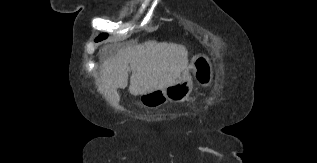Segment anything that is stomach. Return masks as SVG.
I'll return each mask as SVG.
<instances>
[{
    "mask_svg": "<svg viewBox=\"0 0 317 163\" xmlns=\"http://www.w3.org/2000/svg\"><path fill=\"white\" fill-rule=\"evenodd\" d=\"M190 68L199 85L209 86L213 81V66L206 55L193 57ZM193 89L192 77L188 70L172 84L154 91L141 94L139 101L146 108H155L170 102H183L188 99Z\"/></svg>",
    "mask_w": 317,
    "mask_h": 163,
    "instance_id": "obj_1",
    "label": "stomach"
}]
</instances>
